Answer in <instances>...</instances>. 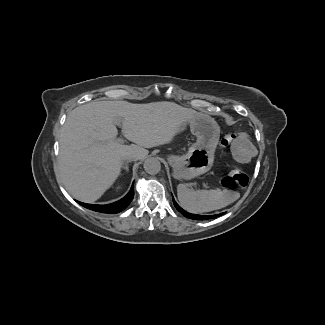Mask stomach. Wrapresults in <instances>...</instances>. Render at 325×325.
I'll list each match as a JSON object with an SVG mask.
<instances>
[{"mask_svg": "<svg viewBox=\"0 0 325 325\" xmlns=\"http://www.w3.org/2000/svg\"><path fill=\"white\" fill-rule=\"evenodd\" d=\"M190 124L193 133L203 143L214 144L217 142L220 130L216 121L203 113L194 112L176 123V129H184ZM175 175L190 178L206 172L213 163V151L207 146H194L188 156H174L170 159Z\"/></svg>", "mask_w": 325, "mask_h": 325, "instance_id": "1", "label": "stomach"}]
</instances>
